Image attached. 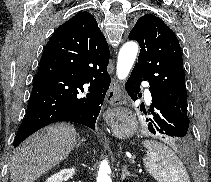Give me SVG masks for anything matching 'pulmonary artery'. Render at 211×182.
Listing matches in <instances>:
<instances>
[{"label": "pulmonary artery", "mask_w": 211, "mask_h": 182, "mask_svg": "<svg viewBox=\"0 0 211 182\" xmlns=\"http://www.w3.org/2000/svg\"><path fill=\"white\" fill-rule=\"evenodd\" d=\"M145 98L148 102H151V100H152L151 93L148 89H146V91H145Z\"/></svg>", "instance_id": "obj_1"}]
</instances>
